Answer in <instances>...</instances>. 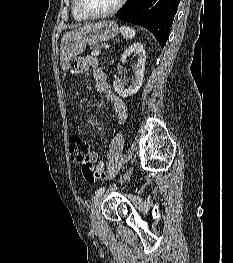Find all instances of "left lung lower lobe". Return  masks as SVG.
<instances>
[{
    "label": "left lung lower lobe",
    "mask_w": 233,
    "mask_h": 263,
    "mask_svg": "<svg viewBox=\"0 0 233 263\" xmlns=\"http://www.w3.org/2000/svg\"><path fill=\"white\" fill-rule=\"evenodd\" d=\"M179 2L180 0H128L116 16L147 28L163 47L170 34Z\"/></svg>",
    "instance_id": "0a47b994"
}]
</instances>
